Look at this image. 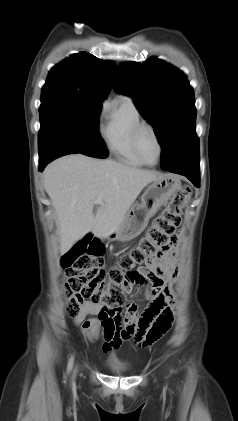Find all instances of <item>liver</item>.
I'll return each instance as SVG.
<instances>
[{"instance_id": "1", "label": "liver", "mask_w": 238, "mask_h": 421, "mask_svg": "<svg viewBox=\"0 0 238 421\" xmlns=\"http://www.w3.org/2000/svg\"><path fill=\"white\" fill-rule=\"evenodd\" d=\"M162 176L82 154L50 163L43 173L44 187L57 215L60 252H67L89 232L100 239L109 237L143 188ZM98 197L101 204L95 202ZM95 204L99 206L94 214Z\"/></svg>"}]
</instances>
